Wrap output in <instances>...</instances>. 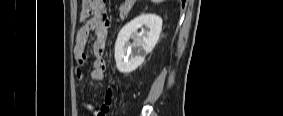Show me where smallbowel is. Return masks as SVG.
Returning <instances> with one entry per match:
<instances>
[{
  "mask_svg": "<svg viewBox=\"0 0 283 116\" xmlns=\"http://www.w3.org/2000/svg\"><path fill=\"white\" fill-rule=\"evenodd\" d=\"M104 2L103 0L83 1L81 18L85 20V22L76 33L73 50L75 59L78 62L75 73L79 79H83L85 76L84 66L88 60L86 47L90 36L93 38V67L90 72V78L95 82H100L104 79L106 71L104 50L110 26V20L106 13ZM112 100L113 90L111 87H108L105 92L104 101L99 108H95L88 103H85L84 107L90 111L93 116H107L111 108Z\"/></svg>",
  "mask_w": 283,
  "mask_h": 116,
  "instance_id": "small-bowel-1",
  "label": "small bowel"
}]
</instances>
